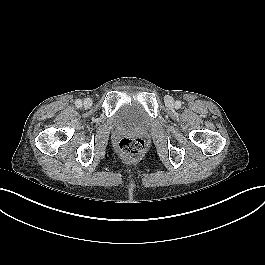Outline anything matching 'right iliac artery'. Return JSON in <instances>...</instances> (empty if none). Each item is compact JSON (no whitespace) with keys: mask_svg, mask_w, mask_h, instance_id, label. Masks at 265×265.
<instances>
[{"mask_svg":"<svg viewBox=\"0 0 265 265\" xmlns=\"http://www.w3.org/2000/svg\"><path fill=\"white\" fill-rule=\"evenodd\" d=\"M75 105L79 108V107H81L82 106V102H81V100L80 99H77L76 101H75Z\"/></svg>","mask_w":265,"mask_h":265,"instance_id":"right-iliac-artery-1","label":"right iliac artery"}]
</instances>
